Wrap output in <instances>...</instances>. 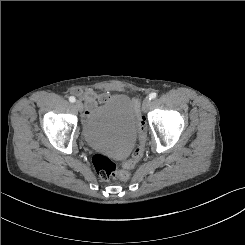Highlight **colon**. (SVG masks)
<instances>
[{
	"instance_id": "colon-1",
	"label": "colon",
	"mask_w": 245,
	"mask_h": 245,
	"mask_svg": "<svg viewBox=\"0 0 245 245\" xmlns=\"http://www.w3.org/2000/svg\"><path fill=\"white\" fill-rule=\"evenodd\" d=\"M135 106L138 111L139 101L135 100ZM144 119L138 118V132L140 144L133 150L131 158L123 163V167L119 168L110 158L102 154H95L92 158L94 168L99 177L104 181L109 180H127L130 177L129 170L134 168L143 155V146L146 139Z\"/></svg>"
}]
</instances>
